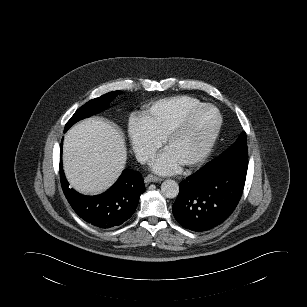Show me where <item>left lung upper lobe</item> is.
Wrapping results in <instances>:
<instances>
[{"mask_svg": "<svg viewBox=\"0 0 307 307\" xmlns=\"http://www.w3.org/2000/svg\"><path fill=\"white\" fill-rule=\"evenodd\" d=\"M215 163H238L248 164V149H247V138L246 133L243 132L236 142L230 146L228 150L223 152L219 157L210 161L207 165Z\"/></svg>", "mask_w": 307, "mask_h": 307, "instance_id": "left-lung-upper-lobe-1", "label": "left lung upper lobe"}]
</instances>
